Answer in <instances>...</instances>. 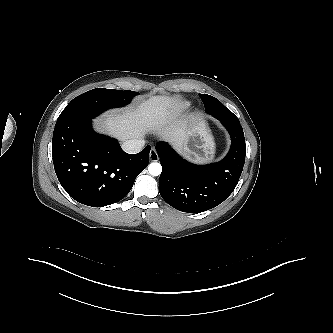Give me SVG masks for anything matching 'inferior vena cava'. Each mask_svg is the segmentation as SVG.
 Listing matches in <instances>:
<instances>
[{"label":"inferior vena cava","instance_id":"1","mask_svg":"<svg viewBox=\"0 0 333 333\" xmlns=\"http://www.w3.org/2000/svg\"><path fill=\"white\" fill-rule=\"evenodd\" d=\"M144 140L142 139H130L125 141L122 144V149L129 154H135L138 153L142 150V148L144 147Z\"/></svg>","mask_w":333,"mask_h":333}]
</instances>
